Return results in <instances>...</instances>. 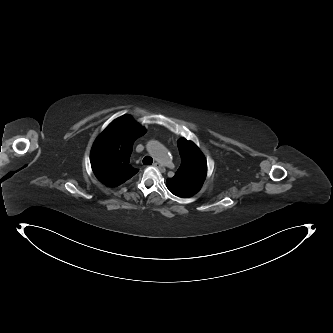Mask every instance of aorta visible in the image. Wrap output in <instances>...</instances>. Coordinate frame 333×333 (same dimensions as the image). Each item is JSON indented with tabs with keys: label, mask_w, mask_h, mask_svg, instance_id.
Segmentation results:
<instances>
[{
	"label": "aorta",
	"mask_w": 333,
	"mask_h": 333,
	"mask_svg": "<svg viewBox=\"0 0 333 333\" xmlns=\"http://www.w3.org/2000/svg\"><path fill=\"white\" fill-rule=\"evenodd\" d=\"M150 155L156 159L161 166H168L171 163V156L166 148L158 141L151 140L147 144Z\"/></svg>",
	"instance_id": "1"
}]
</instances>
